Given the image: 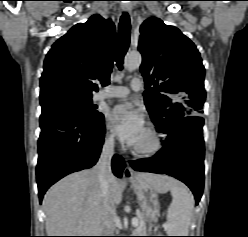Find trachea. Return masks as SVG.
Returning <instances> with one entry per match:
<instances>
[{
  "mask_svg": "<svg viewBox=\"0 0 248 237\" xmlns=\"http://www.w3.org/2000/svg\"><path fill=\"white\" fill-rule=\"evenodd\" d=\"M131 24L128 13L121 16L118 28V46L116 49V65L122 70L123 59L130 44Z\"/></svg>",
  "mask_w": 248,
  "mask_h": 237,
  "instance_id": "trachea-1",
  "label": "trachea"
}]
</instances>
